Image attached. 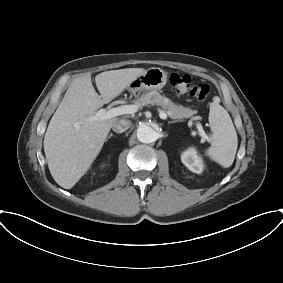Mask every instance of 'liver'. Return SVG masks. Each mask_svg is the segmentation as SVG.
<instances>
[{"label":"liver","mask_w":283,"mask_h":283,"mask_svg":"<svg viewBox=\"0 0 283 283\" xmlns=\"http://www.w3.org/2000/svg\"><path fill=\"white\" fill-rule=\"evenodd\" d=\"M145 71L143 68H126L96 75L100 95L95 91L89 73L70 84L44 137L48 167L58 185L71 189L87 172L111 127L118 121L116 117L108 120H92L91 117Z\"/></svg>","instance_id":"obj_1"}]
</instances>
